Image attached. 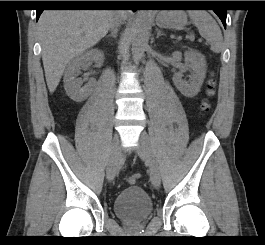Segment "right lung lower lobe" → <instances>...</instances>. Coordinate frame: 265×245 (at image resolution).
Returning <instances> with one entry per match:
<instances>
[{"instance_id":"1","label":"right lung lower lobe","mask_w":265,"mask_h":245,"mask_svg":"<svg viewBox=\"0 0 265 245\" xmlns=\"http://www.w3.org/2000/svg\"><path fill=\"white\" fill-rule=\"evenodd\" d=\"M53 4V3H52ZM52 6H73L67 3H54ZM77 6L79 7H134V5L128 1H83ZM136 11L135 9H132ZM43 9H37V20L39 19Z\"/></svg>"}]
</instances>
